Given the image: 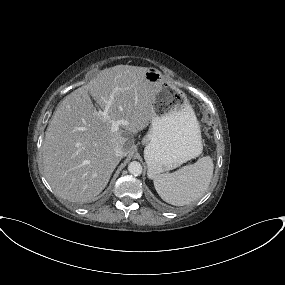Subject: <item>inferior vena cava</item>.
<instances>
[{"instance_id": "602c4592", "label": "inferior vena cava", "mask_w": 285, "mask_h": 285, "mask_svg": "<svg viewBox=\"0 0 285 285\" xmlns=\"http://www.w3.org/2000/svg\"><path fill=\"white\" fill-rule=\"evenodd\" d=\"M115 155H116V157H118V158H122V157H124V156L126 155V153H125V151L123 150V148L118 147V148H116V150H115Z\"/></svg>"}]
</instances>
